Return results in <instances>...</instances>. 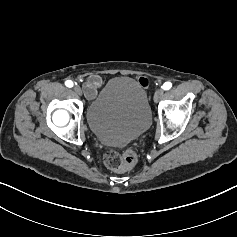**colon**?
I'll list each match as a JSON object with an SVG mask.
<instances>
[{"label":"colon","mask_w":237,"mask_h":237,"mask_svg":"<svg viewBox=\"0 0 237 237\" xmlns=\"http://www.w3.org/2000/svg\"><path fill=\"white\" fill-rule=\"evenodd\" d=\"M105 165L116 172H124L132 169L137 163V153L133 149L122 152L116 150L107 151L104 154Z\"/></svg>","instance_id":"5ec220e1"}]
</instances>
